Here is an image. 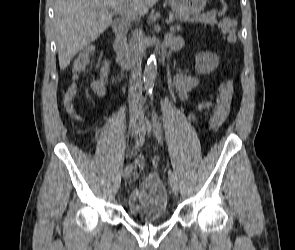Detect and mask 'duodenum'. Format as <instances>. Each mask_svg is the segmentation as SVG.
<instances>
[{
	"label": "duodenum",
	"instance_id": "obj_1",
	"mask_svg": "<svg viewBox=\"0 0 295 250\" xmlns=\"http://www.w3.org/2000/svg\"><path fill=\"white\" fill-rule=\"evenodd\" d=\"M129 27V21L127 18H117L113 23V31L115 34L114 49L123 58L128 59L129 51L127 47L126 33ZM127 64L131 66V62L127 60Z\"/></svg>",
	"mask_w": 295,
	"mask_h": 250
}]
</instances>
